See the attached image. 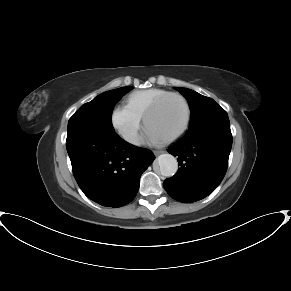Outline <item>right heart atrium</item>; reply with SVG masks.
Here are the masks:
<instances>
[{
	"mask_svg": "<svg viewBox=\"0 0 291 291\" xmlns=\"http://www.w3.org/2000/svg\"><path fill=\"white\" fill-rule=\"evenodd\" d=\"M142 117L128 105H117L111 115V123L119 135L129 143H134L141 127Z\"/></svg>",
	"mask_w": 291,
	"mask_h": 291,
	"instance_id": "obj_1",
	"label": "right heart atrium"
}]
</instances>
